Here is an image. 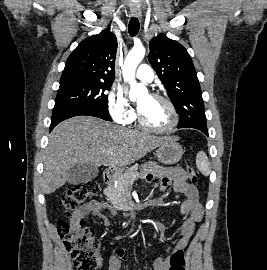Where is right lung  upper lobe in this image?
Returning <instances> with one entry per match:
<instances>
[{
  "instance_id": "cb5924a9",
  "label": "right lung upper lobe",
  "mask_w": 267,
  "mask_h": 270,
  "mask_svg": "<svg viewBox=\"0 0 267 270\" xmlns=\"http://www.w3.org/2000/svg\"><path fill=\"white\" fill-rule=\"evenodd\" d=\"M117 39L110 30L84 39L70 54L61 79L114 81Z\"/></svg>"
}]
</instances>
